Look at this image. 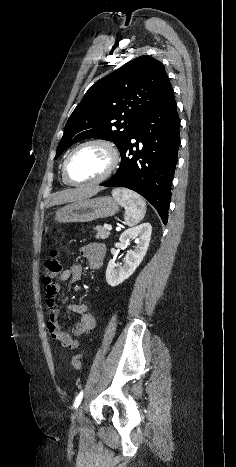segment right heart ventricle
<instances>
[{
	"label": "right heart ventricle",
	"instance_id": "1",
	"mask_svg": "<svg viewBox=\"0 0 236 467\" xmlns=\"http://www.w3.org/2000/svg\"><path fill=\"white\" fill-rule=\"evenodd\" d=\"M62 178H63V181H64L65 183H67V182L65 181L64 177H63V174H62ZM67 184H68V183H67Z\"/></svg>",
	"mask_w": 236,
	"mask_h": 467
}]
</instances>
